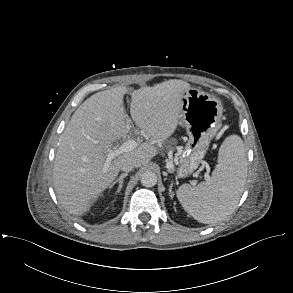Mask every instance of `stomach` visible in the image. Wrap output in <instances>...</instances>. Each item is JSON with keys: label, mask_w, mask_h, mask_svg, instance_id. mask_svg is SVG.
<instances>
[{"label": "stomach", "mask_w": 293, "mask_h": 293, "mask_svg": "<svg viewBox=\"0 0 293 293\" xmlns=\"http://www.w3.org/2000/svg\"><path fill=\"white\" fill-rule=\"evenodd\" d=\"M181 102L180 121L189 139L180 156L177 177L185 178L198 168L221 128L223 106L217 98L196 88L184 91Z\"/></svg>", "instance_id": "1"}]
</instances>
